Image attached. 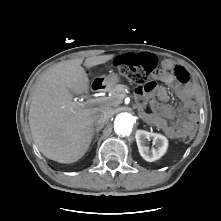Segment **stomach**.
Segmentation results:
<instances>
[{"label":"stomach","instance_id":"0dacf381","mask_svg":"<svg viewBox=\"0 0 221 221\" xmlns=\"http://www.w3.org/2000/svg\"><path fill=\"white\" fill-rule=\"evenodd\" d=\"M118 82L119 77L115 74H111L104 79V84L110 89H113Z\"/></svg>","mask_w":221,"mask_h":221}]
</instances>
